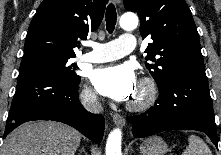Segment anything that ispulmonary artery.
I'll use <instances>...</instances> for the list:
<instances>
[{"instance_id":"e3ab8cb5","label":"pulmonary artery","mask_w":221,"mask_h":155,"mask_svg":"<svg viewBox=\"0 0 221 155\" xmlns=\"http://www.w3.org/2000/svg\"><path fill=\"white\" fill-rule=\"evenodd\" d=\"M92 51L82 56V60L91 63H100L119 59L132 52L136 47L135 36L129 33L122 34L117 39L107 43L90 42Z\"/></svg>"}]
</instances>
